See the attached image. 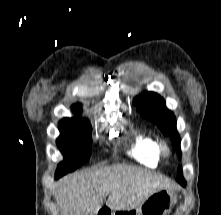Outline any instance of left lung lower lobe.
Here are the masks:
<instances>
[{
    "label": "left lung lower lobe",
    "mask_w": 221,
    "mask_h": 215,
    "mask_svg": "<svg viewBox=\"0 0 221 215\" xmlns=\"http://www.w3.org/2000/svg\"><path fill=\"white\" fill-rule=\"evenodd\" d=\"M178 182H179L182 186H185V185H186V182L183 181V180H179Z\"/></svg>",
    "instance_id": "left-lung-lower-lobe-1"
}]
</instances>
